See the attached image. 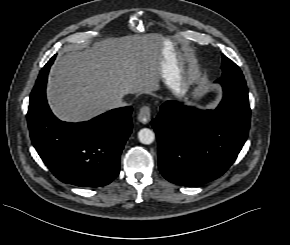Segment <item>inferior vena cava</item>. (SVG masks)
Returning a JSON list of instances; mask_svg holds the SVG:
<instances>
[{
  "mask_svg": "<svg viewBox=\"0 0 290 245\" xmlns=\"http://www.w3.org/2000/svg\"><path fill=\"white\" fill-rule=\"evenodd\" d=\"M124 106H127V103L125 101H123L122 97H117L112 102L113 108L124 107Z\"/></svg>",
  "mask_w": 290,
  "mask_h": 245,
  "instance_id": "1",
  "label": "inferior vena cava"
}]
</instances>
